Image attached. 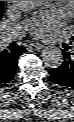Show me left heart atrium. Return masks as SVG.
Wrapping results in <instances>:
<instances>
[{
	"label": "left heart atrium",
	"instance_id": "1",
	"mask_svg": "<svg viewBox=\"0 0 74 122\" xmlns=\"http://www.w3.org/2000/svg\"><path fill=\"white\" fill-rule=\"evenodd\" d=\"M64 17L58 12L41 14L31 24V31L36 37H47L57 31L63 24Z\"/></svg>",
	"mask_w": 74,
	"mask_h": 122
}]
</instances>
